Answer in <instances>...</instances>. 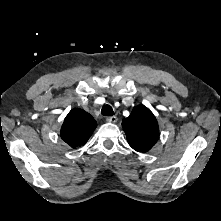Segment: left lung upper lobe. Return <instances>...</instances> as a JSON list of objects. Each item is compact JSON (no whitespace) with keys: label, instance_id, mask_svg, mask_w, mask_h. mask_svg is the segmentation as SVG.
Instances as JSON below:
<instances>
[{"label":"left lung upper lobe","instance_id":"5c2ea615","mask_svg":"<svg viewBox=\"0 0 221 221\" xmlns=\"http://www.w3.org/2000/svg\"><path fill=\"white\" fill-rule=\"evenodd\" d=\"M129 145L138 152H147L159 137L155 116L144 105L136 106L129 117L122 121Z\"/></svg>","mask_w":221,"mask_h":221}]
</instances>
